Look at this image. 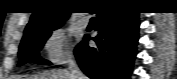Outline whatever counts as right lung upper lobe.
Returning <instances> with one entry per match:
<instances>
[{"mask_svg": "<svg viewBox=\"0 0 177 79\" xmlns=\"http://www.w3.org/2000/svg\"><path fill=\"white\" fill-rule=\"evenodd\" d=\"M55 6L52 3H39L33 12L28 25L25 28L23 38L31 36L32 34L55 27H60L64 21L69 17L70 12L68 11H57L52 12L50 9Z\"/></svg>", "mask_w": 177, "mask_h": 79, "instance_id": "1", "label": "right lung upper lobe"}]
</instances>
